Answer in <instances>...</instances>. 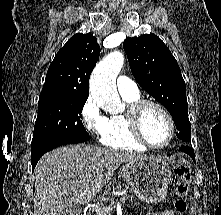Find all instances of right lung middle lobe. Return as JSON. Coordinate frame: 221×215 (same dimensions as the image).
Listing matches in <instances>:
<instances>
[{
    "mask_svg": "<svg viewBox=\"0 0 221 215\" xmlns=\"http://www.w3.org/2000/svg\"><path fill=\"white\" fill-rule=\"evenodd\" d=\"M87 98H57L38 103L31 154L88 137L80 120Z\"/></svg>",
    "mask_w": 221,
    "mask_h": 215,
    "instance_id": "dd1d6c3e",
    "label": "right lung middle lobe"
}]
</instances>
